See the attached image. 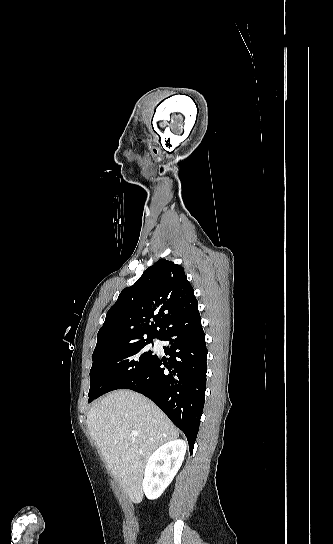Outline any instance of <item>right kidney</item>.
Masks as SVG:
<instances>
[{
	"mask_svg": "<svg viewBox=\"0 0 333 544\" xmlns=\"http://www.w3.org/2000/svg\"><path fill=\"white\" fill-rule=\"evenodd\" d=\"M186 453V443L173 440L161 445L149 458L142 487L146 497L157 499L172 482Z\"/></svg>",
	"mask_w": 333,
	"mask_h": 544,
	"instance_id": "right-kidney-1",
	"label": "right kidney"
}]
</instances>
